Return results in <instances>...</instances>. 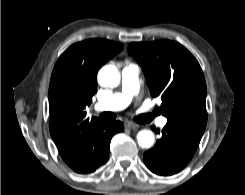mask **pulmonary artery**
Instances as JSON below:
<instances>
[{"mask_svg":"<svg viewBox=\"0 0 245 195\" xmlns=\"http://www.w3.org/2000/svg\"><path fill=\"white\" fill-rule=\"evenodd\" d=\"M122 85L119 92H115L106 99L96 103L95 109L99 111H118L126 108L139 91V67L127 63L122 69ZM158 124L164 127L167 119L161 117Z\"/></svg>","mask_w":245,"mask_h":195,"instance_id":"e3ab8cb5","label":"pulmonary artery"}]
</instances>
